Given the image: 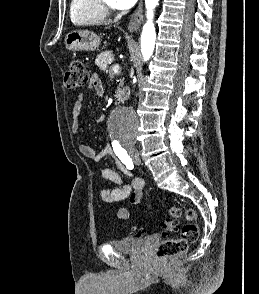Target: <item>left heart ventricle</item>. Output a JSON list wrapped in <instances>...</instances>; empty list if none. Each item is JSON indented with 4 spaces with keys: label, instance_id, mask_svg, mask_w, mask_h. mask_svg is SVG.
Listing matches in <instances>:
<instances>
[{
    "label": "left heart ventricle",
    "instance_id": "1",
    "mask_svg": "<svg viewBox=\"0 0 259 294\" xmlns=\"http://www.w3.org/2000/svg\"><path fill=\"white\" fill-rule=\"evenodd\" d=\"M106 2H107L108 4H111V5L114 4V3H113V0H106Z\"/></svg>",
    "mask_w": 259,
    "mask_h": 294
}]
</instances>
